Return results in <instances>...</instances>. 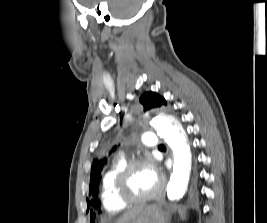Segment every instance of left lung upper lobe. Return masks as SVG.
Returning a JSON list of instances; mask_svg holds the SVG:
<instances>
[{
  "label": "left lung upper lobe",
  "mask_w": 267,
  "mask_h": 223,
  "mask_svg": "<svg viewBox=\"0 0 267 223\" xmlns=\"http://www.w3.org/2000/svg\"><path fill=\"white\" fill-rule=\"evenodd\" d=\"M140 102L144 107V111L153 109V108H159L162 106H167L166 100L160 96L159 94L149 91L145 92L141 98ZM116 149V147L113 148V150ZM107 159H94L92 164V172L90 176V191L89 196L90 198H87V209L86 214H105V209H102V203H99L98 200V193H99V183L101 180V172L103 170V167L106 165Z\"/></svg>",
  "instance_id": "1"
}]
</instances>
